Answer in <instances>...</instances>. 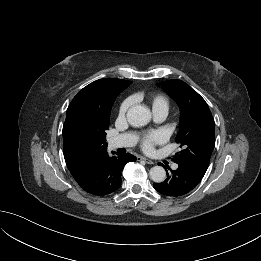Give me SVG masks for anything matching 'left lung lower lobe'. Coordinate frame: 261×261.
<instances>
[{
    "instance_id": "left-lung-lower-lobe-1",
    "label": "left lung lower lobe",
    "mask_w": 261,
    "mask_h": 261,
    "mask_svg": "<svg viewBox=\"0 0 261 261\" xmlns=\"http://www.w3.org/2000/svg\"><path fill=\"white\" fill-rule=\"evenodd\" d=\"M179 165V164H178ZM201 179L197 178L188 168L179 165L176 170L167 173L164 182L154 183L153 187L166 196H182L193 190Z\"/></svg>"
}]
</instances>
